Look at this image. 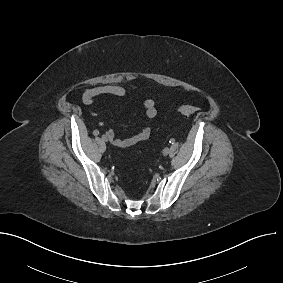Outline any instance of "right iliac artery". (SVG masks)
Returning <instances> with one entry per match:
<instances>
[{
	"label": "right iliac artery",
	"instance_id": "82829eb1",
	"mask_svg": "<svg viewBox=\"0 0 283 283\" xmlns=\"http://www.w3.org/2000/svg\"><path fill=\"white\" fill-rule=\"evenodd\" d=\"M92 135H93L94 137H97V136L99 135V131H98V130H94V131L92 132Z\"/></svg>",
	"mask_w": 283,
	"mask_h": 283
}]
</instances>
